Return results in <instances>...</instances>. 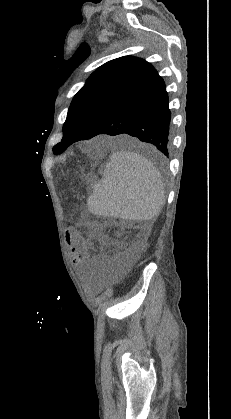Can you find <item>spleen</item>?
I'll use <instances>...</instances> for the list:
<instances>
[{
  "mask_svg": "<svg viewBox=\"0 0 231 419\" xmlns=\"http://www.w3.org/2000/svg\"><path fill=\"white\" fill-rule=\"evenodd\" d=\"M164 183L155 166L130 151H116L103 179L93 186L88 209L93 214L125 220H151L164 204Z\"/></svg>",
  "mask_w": 231,
  "mask_h": 419,
  "instance_id": "spleen-1",
  "label": "spleen"
}]
</instances>
